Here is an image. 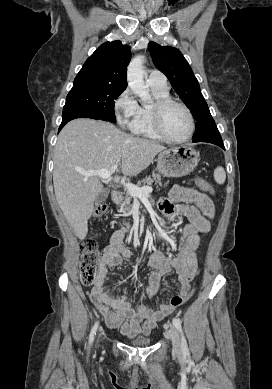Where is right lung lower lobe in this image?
Segmentation results:
<instances>
[{
	"instance_id": "obj_1",
	"label": "right lung lower lobe",
	"mask_w": 272,
	"mask_h": 389,
	"mask_svg": "<svg viewBox=\"0 0 272 389\" xmlns=\"http://www.w3.org/2000/svg\"><path fill=\"white\" fill-rule=\"evenodd\" d=\"M76 118H92V119H99L98 117L82 113V112H69L62 114V122L59 127V131L64 127V125L69 122L70 120L76 119ZM101 120V119H100ZM58 131V132H59Z\"/></svg>"
}]
</instances>
